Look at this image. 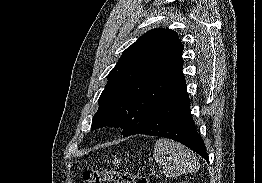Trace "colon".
Instances as JSON below:
<instances>
[{"instance_id": "1", "label": "colon", "mask_w": 262, "mask_h": 183, "mask_svg": "<svg viewBox=\"0 0 262 183\" xmlns=\"http://www.w3.org/2000/svg\"><path fill=\"white\" fill-rule=\"evenodd\" d=\"M81 183H149L143 176L133 175L128 172L114 170H88L80 177Z\"/></svg>"}]
</instances>
